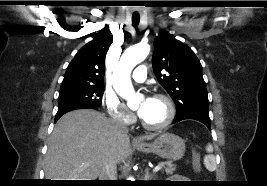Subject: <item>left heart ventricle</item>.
Listing matches in <instances>:
<instances>
[{
	"label": "left heart ventricle",
	"mask_w": 267,
	"mask_h": 186,
	"mask_svg": "<svg viewBox=\"0 0 267 186\" xmlns=\"http://www.w3.org/2000/svg\"><path fill=\"white\" fill-rule=\"evenodd\" d=\"M166 115V105L160 100L152 99L148 111L142 119L148 124L157 125L165 119Z\"/></svg>",
	"instance_id": "b2bd125f"
}]
</instances>
